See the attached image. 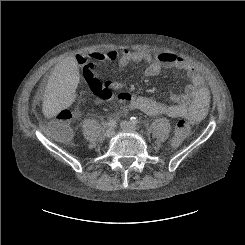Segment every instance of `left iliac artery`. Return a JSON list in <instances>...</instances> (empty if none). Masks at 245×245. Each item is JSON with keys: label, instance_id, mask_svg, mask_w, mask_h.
<instances>
[{"label": "left iliac artery", "instance_id": "obj_1", "mask_svg": "<svg viewBox=\"0 0 245 245\" xmlns=\"http://www.w3.org/2000/svg\"><path fill=\"white\" fill-rule=\"evenodd\" d=\"M130 121H131L133 124H138V123H139V120H138L136 117H131V118H130Z\"/></svg>", "mask_w": 245, "mask_h": 245}]
</instances>
